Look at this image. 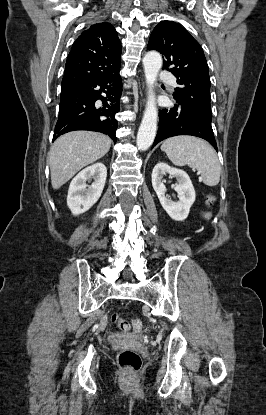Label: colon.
I'll return each instance as SVG.
<instances>
[{
	"label": "colon",
	"mask_w": 266,
	"mask_h": 415,
	"mask_svg": "<svg viewBox=\"0 0 266 415\" xmlns=\"http://www.w3.org/2000/svg\"><path fill=\"white\" fill-rule=\"evenodd\" d=\"M112 321L124 332L135 333L140 331L142 322L139 319L126 320L121 318L118 314L112 315ZM118 363L120 367L128 374L134 375L141 368V357L133 349H122L118 353Z\"/></svg>",
	"instance_id": "colon-1"
}]
</instances>
